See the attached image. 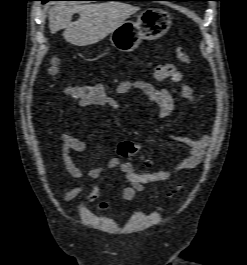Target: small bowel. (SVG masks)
<instances>
[{
    "mask_svg": "<svg viewBox=\"0 0 247 265\" xmlns=\"http://www.w3.org/2000/svg\"><path fill=\"white\" fill-rule=\"evenodd\" d=\"M154 78L160 82L167 81L169 86L156 87L152 83L142 80L122 81L115 86L114 92L118 95H123L133 90L140 92L147 103L155 104L159 107L160 117L162 119H166L171 115L174 109V95L190 102L197 101L196 93L189 86L182 83V73L173 64L166 63L157 65L154 69ZM78 106L85 107L82 103H78ZM106 106L115 110L120 109L119 102L113 97L110 98ZM171 138L188 148L187 156L172 171L141 172L132 162L121 161L117 156L109 158L104 165L83 171L73 161L71 152H83L86 148L85 142L68 133H62L61 153L68 174L74 179H86V182L68 190L64 194L63 199L67 202L73 201L85 188H89L90 191L86 195L85 200L87 202L99 201L101 192L99 186L94 181L101 178L108 171L119 168L124 173L126 180L125 184L121 187V196L125 201L131 202L134 200L136 194L144 191L146 184L166 181L173 174L192 170L197 167L201 163L211 141L209 135H203L198 139L173 135ZM107 208V202H98L99 210L103 211Z\"/></svg>",
    "mask_w": 247,
    "mask_h": 265,
    "instance_id": "1",
    "label": "small bowel"
}]
</instances>
